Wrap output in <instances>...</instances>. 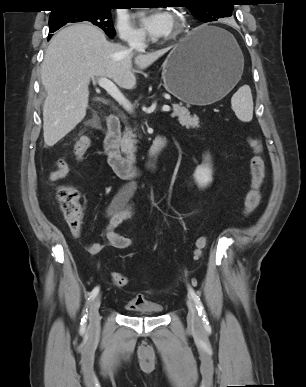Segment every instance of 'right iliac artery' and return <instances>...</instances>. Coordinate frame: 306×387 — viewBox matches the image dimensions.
I'll return each mask as SVG.
<instances>
[{
    "mask_svg": "<svg viewBox=\"0 0 306 387\" xmlns=\"http://www.w3.org/2000/svg\"><path fill=\"white\" fill-rule=\"evenodd\" d=\"M98 292H99V287L97 286V287H95V288L91 291L90 296H89V298H88V300H87L86 308L84 309V312H83L84 315H83V318L81 319V329H82V330H84L85 327H86V319H87L86 312H87V306H88V304H89V303L97 296Z\"/></svg>",
    "mask_w": 306,
    "mask_h": 387,
    "instance_id": "right-iliac-artery-1",
    "label": "right iliac artery"
}]
</instances>
